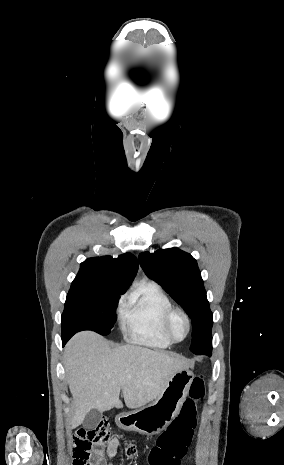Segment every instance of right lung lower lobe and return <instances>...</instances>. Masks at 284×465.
<instances>
[{"label": "right lung lower lobe", "instance_id": "right-lung-lower-lobe-1", "mask_svg": "<svg viewBox=\"0 0 284 465\" xmlns=\"http://www.w3.org/2000/svg\"><path fill=\"white\" fill-rule=\"evenodd\" d=\"M72 337V336H71ZM70 336L62 337L63 346L67 343V341L71 338Z\"/></svg>", "mask_w": 284, "mask_h": 465}]
</instances>
